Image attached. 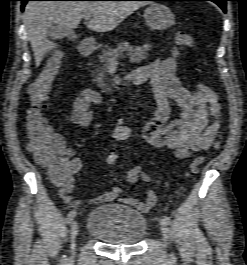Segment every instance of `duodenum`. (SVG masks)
<instances>
[{"mask_svg":"<svg viewBox=\"0 0 247 265\" xmlns=\"http://www.w3.org/2000/svg\"><path fill=\"white\" fill-rule=\"evenodd\" d=\"M96 47L92 40L90 39H84L80 45H79V54L82 58L89 57L92 53H94ZM130 80L134 84H141L143 83L141 80H136L133 76V73H130L129 75Z\"/></svg>","mask_w":247,"mask_h":265,"instance_id":"410a0bca","label":"duodenum"}]
</instances>
